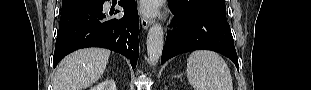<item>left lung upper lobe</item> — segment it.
I'll return each mask as SVG.
<instances>
[{
    "label": "left lung upper lobe",
    "mask_w": 311,
    "mask_h": 90,
    "mask_svg": "<svg viewBox=\"0 0 311 90\" xmlns=\"http://www.w3.org/2000/svg\"><path fill=\"white\" fill-rule=\"evenodd\" d=\"M169 5L184 14H207L226 20L224 0H168Z\"/></svg>",
    "instance_id": "1"
}]
</instances>
